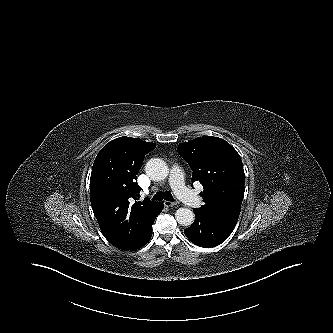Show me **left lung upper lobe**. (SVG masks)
I'll list each match as a JSON object with an SVG mask.
<instances>
[{"instance_id": "left-lung-upper-lobe-1", "label": "left lung upper lobe", "mask_w": 333, "mask_h": 333, "mask_svg": "<svg viewBox=\"0 0 333 333\" xmlns=\"http://www.w3.org/2000/svg\"><path fill=\"white\" fill-rule=\"evenodd\" d=\"M177 151L190 165L192 183L204 187L200 209L237 223L244 198V170L237 151L218 137H198L178 146Z\"/></svg>"}]
</instances>
